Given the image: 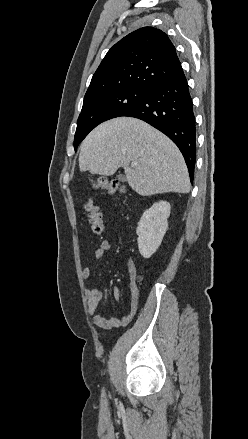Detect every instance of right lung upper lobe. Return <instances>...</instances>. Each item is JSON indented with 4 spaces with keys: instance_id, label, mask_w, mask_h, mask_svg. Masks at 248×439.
<instances>
[{
    "instance_id": "right-lung-upper-lobe-1",
    "label": "right lung upper lobe",
    "mask_w": 248,
    "mask_h": 439,
    "mask_svg": "<svg viewBox=\"0 0 248 439\" xmlns=\"http://www.w3.org/2000/svg\"><path fill=\"white\" fill-rule=\"evenodd\" d=\"M182 71L167 34L153 27H143L108 51L92 77L84 102L121 89L148 92Z\"/></svg>"
}]
</instances>
